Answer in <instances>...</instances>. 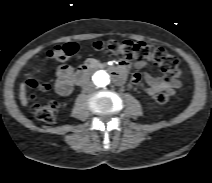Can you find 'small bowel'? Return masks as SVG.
Returning a JSON list of instances; mask_svg holds the SVG:
<instances>
[{
    "mask_svg": "<svg viewBox=\"0 0 212 183\" xmlns=\"http://www.w3.org/2000/svg\"><path fill=\"white\" fill-rule=\"evenodd\" d=\"M147 64V62L139 60L134 64V67L136 69H142L147 66ZM129 67V63L122 62L119 69L122 71L123 75H125ZM142 79L146 82L147 86L143 84ZM73 85L74 79L72 69L68 66H60L57 70V79L55 82L56 92L62 96H66L72 91ZM131 85L143 89L149 95H155L160 91H165L169 95H173L176 89L181 86V81L179 79L167 80L160 76L144 73L143 76L134 74Z\"/></svg>",
    "mask_w": 212,
    "mask_h": 183,
    "instance_id": "small-bowel-1",
    "label": "small bowel"
}]
</instances>
